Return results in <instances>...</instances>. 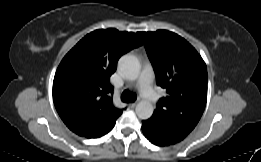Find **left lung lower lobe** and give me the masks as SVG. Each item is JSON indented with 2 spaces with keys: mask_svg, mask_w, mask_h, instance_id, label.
<instances>
[{
  "mask_svg": "<svg viewBox=\"0 0 261 162\" xmlns=\"http://www.w3.org/2000/svg\"><path fill=\"white\" fill-rule=\"evenodd\" d=\"M145 137L154 145L168 146L182 141L189 132L166 124L154 117L142 121Z\"/></svg>",
  "mask_w": 261,
  "mask_h": 162,
  "instance_id": "left-lung-lower-lobe-1",
  "label": "left lung lower lobe"
}]
</instances>
